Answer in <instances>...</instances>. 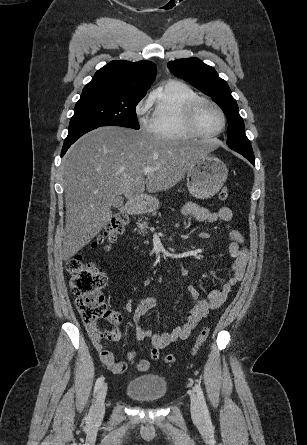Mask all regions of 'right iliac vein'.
Returning <instances> with one entry per match:
<instances>
[{"label":"right iliac vein","mask_w":307,"mask_h":445,"mask_svg":"<svg viewBox=\"0 0 307 445\" xmlns=\"http://www.w3.org/2000/svg\"><path fill=\"white\" fill-rule=\"evenodd\" d=\"M107 394V384H103L97 394L95 409H94V419L99 421L103 418L105 412V398Z\"/></svg>","instance_id":"right-iliac-vein-1"}]
</instances>
